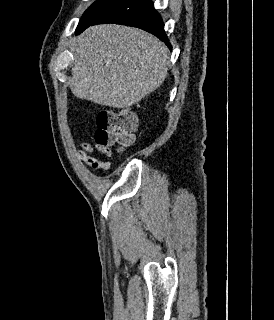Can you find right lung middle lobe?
Wrapping results in <instances>:
<instances>
[{
  "instance_id": "right-lung-middle-lobe-1",
  "label": "right lung middle lobe",
  "mask_w": 274,
  "mask_h": 320,
  "mask_svg": "<svg viewBox=\"0 0 274 320\" xmlns=\"http://www.w3.org/2000/svg\"><path fill=\"white\" fill-rule=\"evenodd\" d=\"M123 1L124 0H96L81 17L77 29L91 24Z\"/></svg>"
}]
</instances>
